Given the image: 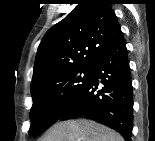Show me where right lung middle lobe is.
Masks as SVG:
<instances>
[{"label":"right lung middle lobe","instance_id":"1","mask_svg":"<svg viewBox=\"0 0 155 141\" xmlns=\"http://www.w3.org/2000/svg\"><path fill=\"white\" fill-rule=\"evenodd\" d=\"M93 72V67L76 68L49 77L31 88L30 136H37L60 119L62 113L78 98ZM61 101L62 109L57 108Z\"/></svg>","mask_w":155,"mask_h":141}]
</instances>
